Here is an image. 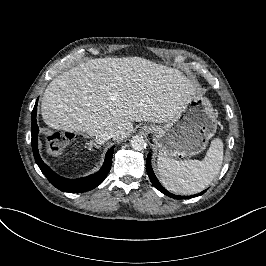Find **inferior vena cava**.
Masks as SVG:
<instances>
[{"label":"inferior vena cava","instance_id":"inferior-vena-cava-1","mask_svg":"<svg viewBox=\"0 0 266 266\" xmlns=\"http://www.w3.org/2000/svg\"><path fill=\"white\" fill-rule=\"evenodd\" d=\"M113 136V132L111 131H98L93 134V138L96 143L103 144L105 141L111 139Z\"/></svg>","mask_w":266,"mask_h":266}]
</instances>
